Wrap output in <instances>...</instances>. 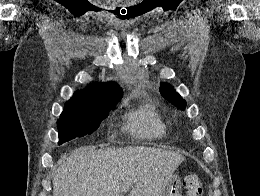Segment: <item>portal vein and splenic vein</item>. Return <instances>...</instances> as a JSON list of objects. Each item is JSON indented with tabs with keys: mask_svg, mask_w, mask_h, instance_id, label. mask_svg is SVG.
I'll list each match as a JSON object with an SVG mask.
<instances>
[{
	"mask_svg": "<svg viewBox=\"0 0 260 196\" xmlns=\"http://www.w3.org/2000/svg\"><path fill=\"white\" fill-rule=\"evenodd\" d=\"M122 192H129V188H123Z\"/></svg>",
	"mask_w": 260,
	"mask_h": 196,
	"instance_id": "portal-vein-and-splenic-vein-1",
	"label": "portal vein and splenic vein"
}]
</instances>
